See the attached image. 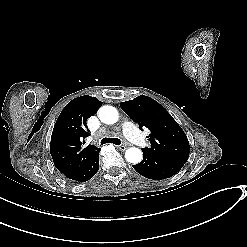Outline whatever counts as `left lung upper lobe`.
I'll return each mask as SVG.
<instances>
[{"label":"left lung upper lobe","instance_id":"5c2ea615","mask_svg":"<svg viewBox=\"0 0 247 247\" xmlns=\"http://www.w3.org/2000/svg\"><path fill=\"white\" fill-rule=\"evenodd\" d=\"M120 106L139 124L141 130H150L147 138L151 147H145L143 150L162 155L181 165L186 163L189 157L188 139L179 124L157 101L142 95L122 102Z\"/></svg>","mask_w":247,"mask_h":247}]
</instances>
